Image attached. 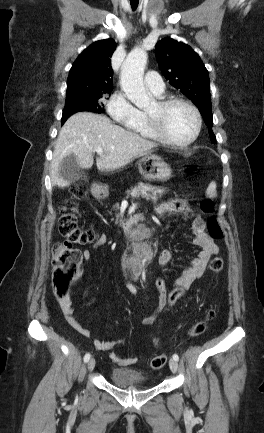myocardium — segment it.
I'll return each instance as SVG.
<instances>
[{
  "label": "myocardium",
  "instance_id": "obj_1",
  "mask_svg": "<svg viewBox=\"0 0 264 433\" xmlns=\"http://www.w3.org/2000/svg\"><path fill=\"white\" fill-rule=\"evenodd\" d=\"M155 104H156V111L155 112L147 111L146 115L153 133L160 141L173 147L186 148L192 145L198 139L202 129V117L198 108L194 104H192L190 101L186 99L179 98V97H169V98L159 99L158 101H156ZM177 104H181L189 108L196 120V127L194 133L191 135L189 139L182 142H178L170 138L167 135L163 124L164 112L171 106Z\"/></svg>",
  "mask_w": 264,
  "mask_h": 433
}]
</instances>
